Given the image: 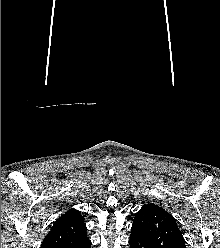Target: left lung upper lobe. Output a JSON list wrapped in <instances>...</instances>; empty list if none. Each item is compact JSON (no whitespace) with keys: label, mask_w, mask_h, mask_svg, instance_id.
Returning <instances> with one entry per match:
<instances>
[{"label":"left lung upper lobe","mask_w":220,"mask_h":248,"mask_svg":"<svg viewBox=\"0 0 220 248\" xmlns=\"http://www.w3.org/2000/svg\"><path fill=\"white\" fill-rule=\"evenodd\" d=\"M156 248H186L173 216L155 204H146L136 213L132 228Z\"/></svg>","instance_id":"5c2ea615"}]
</instances>
